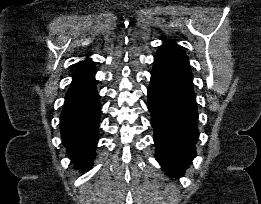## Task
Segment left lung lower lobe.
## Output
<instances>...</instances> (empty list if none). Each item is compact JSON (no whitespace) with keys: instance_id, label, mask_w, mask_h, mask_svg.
<instances>
[{"instance_id":"0a47b994","label":"left lung lower lobe","mask_w":261,"mask_h":204,"mask_svg":"<svg viewBox=\"0 0 261 204\" xmlns=\"http://www.w3.org/2000/svg\"><path fill=\"white\" fill-rule=\"evenodd\" d=\"M148 110L157 161L170 176H183L196 156L198 110L189 59L173 41H164L154 56Z\"/></svg>"}]
</instances>
